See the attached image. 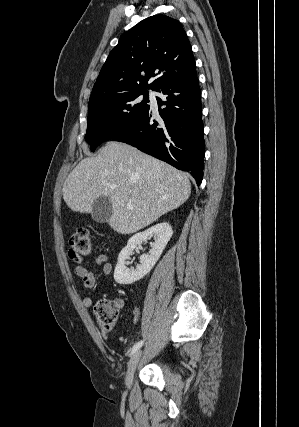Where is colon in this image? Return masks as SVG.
<instances>
[{
  "instance_id": "5ec220e1",
  "label": "colon",
  "mask_w": 299,
  "mask_h": 427,
  "mask_svg": "<svg viewBox=\"0 0 299 427\" xmlns=\"http://www.w3.org/2000/svg\"><path fill=\"white\" fill-rule=\"evenodd\" d=\"M69 256L72 259H80L91 252V240L89 231L85 228L76 230L69 240ZM94 314L102 332H111L115 326L118 310L107 301H98L94 305Z\"/></svg>"
}]
</instances>
